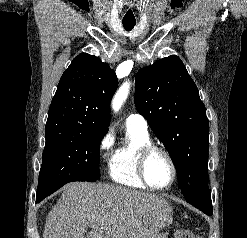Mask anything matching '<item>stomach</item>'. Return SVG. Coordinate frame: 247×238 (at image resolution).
Listing matches in <instances>:
<instances>
[{
  "label": "stomach",
  "instance_id": "0dacf381",
  "mask_svg": "<svg viewBox=\"0 0 247 238\" xmlns=\"http://www.w3.org/2000/svg\"><path fill=\"white\" fill-rule=\"evenodd\" d=\"M156 238H166V234H160Z\"/></svg>",
  "mask_w": 247,
  "mask_h": 238
}]
</instances>
